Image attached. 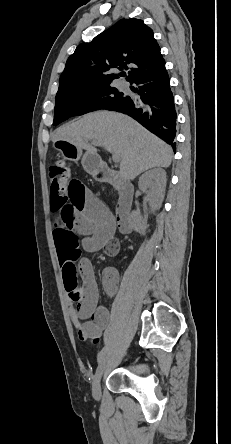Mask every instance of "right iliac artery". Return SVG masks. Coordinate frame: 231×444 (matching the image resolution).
<instances>
[{"label": "right iliac artery", "instance_id": "82829eb1", "mask_svg": "<svg viewBox=\"0 0 231 444\" xmlns=\"http://www.w3.org/2000/svg\"><path fill=\"white\" fill-rule=\"evenodd\" d=\"M105 352H106V347H104V348L99 352L98 357H97L98 362L102 359V357L104 356Z\"/></svg>", "mask_w": 231, "mask_h": 444}]
</instances>
